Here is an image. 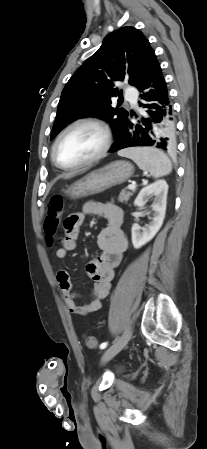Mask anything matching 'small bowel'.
<instances>
[{
	"mask_svg": "<svg viewBox=\"0 0 207 449\" xmlns=\"http://www.w3.org/2000/svg\"><path fill=\"white\" fill-rule=\"evenodd\" d=\"M87 214L100 216L107 222L97 239L101 252L86 267L88 276L95 282L90 301L79 304L77 302L79 296L72 289L69 273L64 269L56 273V280L68 310L79 316L101 308L103 299L110 291L115 269L121 263L127 249V238L122 228L124 220L122 210L112 203L91 201L85 205L83 211L72 213L64 220V235L60 239V247L55 252L58 260L65 259L67 253L76 248L79 229Z\"/></svg>",
	"mask_w": 207,
	"mask_h": 449,
	"instance_id": "1",
	"label": "small bowel"
}]
</instances>
